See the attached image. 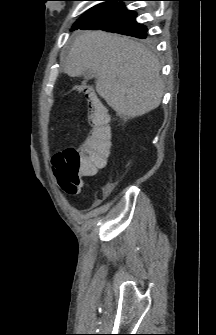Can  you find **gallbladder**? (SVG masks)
Masks as SVG:
<instances>
[{
    "label": "gallbladder",
    "instance_id": "gallbladder-1",
    "mask_svg": "<svg viewBox=\"0 0 216 335\" xmlns=\"http://www.w3.org/2000/svg\"><path fill=\"white\" fill-rule=\"evenodd\" d=\"M84 76H85V79H92V78H94L95 77V74H93V73H89V72H85L84 73Z\"/></svg>",
    "mask_w": 216,
    "mask_h": 335
}]
</instances>
